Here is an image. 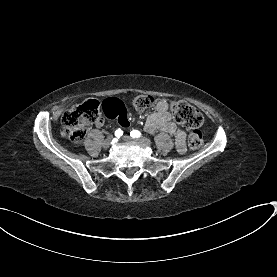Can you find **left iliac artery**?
<instances>
[{
	"instance_id": "44dca946",
	"label": "left iliac artery",
	"mask_w": 277,
	"mask_h": 277,
	"mask_svg": "<svg viewBox=\"0 0 277 277\" xmlns=\"http://www.w3.org/2000/svg\"><path fill=\"white\" fill-rule=\"evenodd\" d=\"M130 135H131V137H133V138H138V137L141 136V133H140V131H138V130H133V131L130 132Z\"/></svg>"
}]
</instances>
